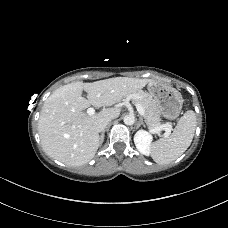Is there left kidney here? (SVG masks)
Returning <instances> with one entry per match:
<instances>
[{
    "label": "left kidney",
    "instance_id": "1",
    "mask_svg": "<svg viewBox=\"0 0 228 228\" xmlns=\"http://www.w3.org/2000/svg\"><path fill=\"white\" fill-rule=\"evenodd\" d=\"M152 136L145 130H138L134 136V143L138 151L146 156L150 155Z\"/></svg>",
    "mask_w": 228,
    "mask_h": 228
}]
</instances>
